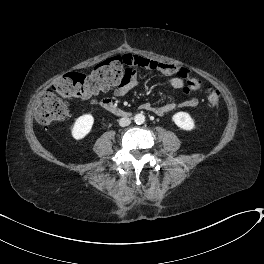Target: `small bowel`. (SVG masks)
I'll use <instances>...</instances> for the list:
<instances>
[{
  "label": "small bowel",
  "instance_id": "small-bowel-1",
  "mask_svg": "<svg viewBox=\"0 0 264 264\" xmlns=\"http://www.w3.org/2000/svg\"><path fill=\"white\" fill-rule=\"evenodd\" d=\"M132 63L126 70L122 80L114 90L116 97H123L128 94L138 84L137 69H146L161 73L168 77V85L170 92L175 93L185 88V73L187 69L183 66L171 65L168 63L159 62L156 60L131 55ZM198 104V100L194 97L187 98L183 106L194 108ZM176 108L174 103H166L163 105H154L150 102H145L140 105V109L155 113L159 116L167 115L173 112Z\"/></svg>",
  "mask_w": 264,
  "mask_h": 264
}]
</instances>
